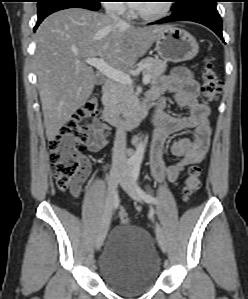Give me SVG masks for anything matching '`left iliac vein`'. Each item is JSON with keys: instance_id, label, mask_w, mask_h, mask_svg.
Listing matches in <instances>:
<instances>
[{"instance_id": "left-iliac-vein-1", "label": "left iliac vein", "mask_w": 248, "mask_h": 299, "mask_svg": "<svg viewBox=\"0 0 248 299\" xmlns=\"http://www.w3.org/2000/svg\"><path fill=\"white\" fill-rule=\"evenodd\" d=\"M119 183L132 199H134L138 202H142L141 196L137 190V186L134 183L133 178H132V169L131 168L126 167L123 170V172L121 173V176H120ZM156 227H157L156 236H157L159 246L165 252L166 248H167L165 235H164L161 227L158 224L156 225Z\"/></svg>"}]
</instances>
